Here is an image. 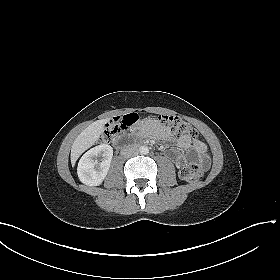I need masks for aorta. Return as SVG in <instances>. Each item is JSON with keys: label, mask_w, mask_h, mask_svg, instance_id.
Returning a JSON list of instances; mask_svg holds the SVG:
<instances>
[{"label": "aorta", "mask_w": 280, "mask_h": 280, "mask_svg": "<svg viewBox=\"0 0 280 280\" xmlns=\"http://www.w3.org/2000/svg\"><path fill=\"white\" fill-rule=\"evenodd\" d=\"M139 151H140L141 154L146 155V154L149 153V148L147 146H141Z\"/></svg>", "instance_id": "obj_1"}]
</instances>
